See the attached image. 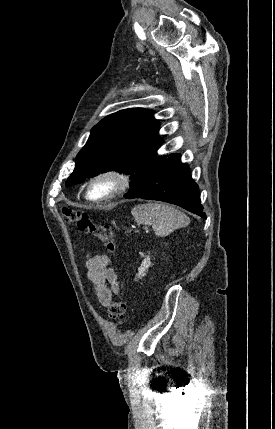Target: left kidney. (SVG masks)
<instances>
[{"instance_id":"5707ae66","label":"left kidney","mask_w":275,"mask_h":429,"mask_svg":"<svg viewBox=\"0 0 275 429\" xmlns=\"http://www.w3.org/2000/svg\"><path fill=\"white\" fill-rule=\"evenodd\" d=\"M152 265L151 261H150V257L147 256L143 261L141 266L138 268V274L137 277L138 278H142L146 275V271L148 270V268Z\"/></svg>"}]
</instances>
